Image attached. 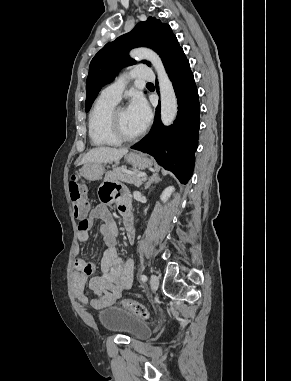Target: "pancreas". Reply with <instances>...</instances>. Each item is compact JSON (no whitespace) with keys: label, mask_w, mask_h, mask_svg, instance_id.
<instances>
[{"label":"pancreas","mask_w":291,"mask_h":381,"mask_svg":"<svg viewBox=\"0 0 291 381\" xmlns=\"http://www.w3.org/2000/svg\"><path fill=\"white\" fill-rule=\"evenodd\" d=\"M139 172L137 170H132L127 172L123 167H117L112 171H108L105 174L104 180L122 181L129 184H134L135 186H140L144 178L137 177Z\"/></svg>","instance_id":"obj_1"}]
</instances>
